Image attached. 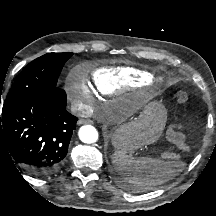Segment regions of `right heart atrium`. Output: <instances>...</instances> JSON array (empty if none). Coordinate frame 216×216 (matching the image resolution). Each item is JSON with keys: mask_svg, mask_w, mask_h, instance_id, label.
Here are the masks:
<instances>
[{"mask_svg": "<svg viewBox=\"0 0 216 216\" xmlns=\"http://www.w3.org/2000/svg\"><path fill=\"white\" fill-rule=\"evenodd\" d=\"M66 91L73 102L80 108L87 110L93 106L95 92L83 80L76 76H69L66 81Z\"/></svg>", "mask_w": 216, "mask_h": 216, "instance_id": "d8ad5b80", "label": "right heart atrium"}]
</instances>
